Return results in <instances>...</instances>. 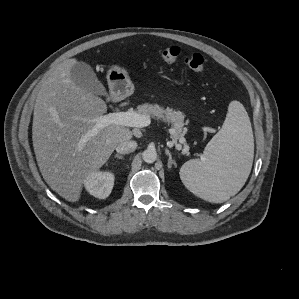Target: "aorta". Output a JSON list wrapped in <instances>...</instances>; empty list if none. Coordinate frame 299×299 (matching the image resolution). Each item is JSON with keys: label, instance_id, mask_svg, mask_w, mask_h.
Segmentation results:
<instances>
[{"label": "aorta", "instance_id": "aorta-1", "mask_svg": "<svg viewBox=\"0 0 299 299\" xmlns=\"http://www.w3.org/2000/svg\"><path fill=\"white\" fill-rule=\"evenodd\" d=\"M142 158L146 163H154L157 160V152L153 148H148L143 151Z\"/></svg>", "mask_w": 299, "mask_h": 299}]
</instances>
